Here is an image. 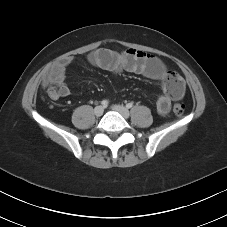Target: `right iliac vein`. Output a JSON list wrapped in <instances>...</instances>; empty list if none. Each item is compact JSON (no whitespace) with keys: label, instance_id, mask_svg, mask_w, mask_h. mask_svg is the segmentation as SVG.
I'll return each mask as SVG.
<instances>
[{"label":"right iliac vein","instance_id":"63e3f726","mask_svg":"<svg viewBox=\"0 0 227 227\" xmlns=\"http://www.w3.org/2000/svg\"><path fill=\"white\" fill-rule=\"evenodd\" d=\"M104 112V108L102 106H97L94 109V113L97 117L101 116Z\"/></svg>","mask_w":227,"mask_h":227}]
</instances>
